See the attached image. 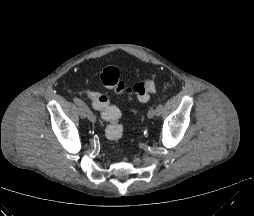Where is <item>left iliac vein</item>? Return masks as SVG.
<instances>
[{"mask_svg": "<svg viewBox=\"0 0 254 216\" xmlns=\"http://www.w3.org/2000/svg\"><path fill=\"white\" fill-rule=\"evenodd\" d=\"M155 115H156V111H155L154 108H151V109L148 111V113H147V117H148L149 119H152Z\"/></svg>", "mask_w": 254, "mask_h": 216, "instance_id": "obj_1", "label": "left iliac vein"}]
</instances>
